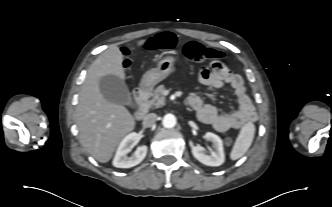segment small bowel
Returning <instances> with one entry per match:
<instances>
[{"label": "small bowel", "mask_w": 332, "mask_h": 207, "mask_svg": "<svg viewBox=\"0 0 332 207\" xmlns=\"http://www.w3.org/2000/svg\"><path fill=\"white\" fill-rule=\"evenodd\" d=\"M199 81L217 90L224 85H230L237 98L239 108L232 112H219L212 105L206 104L199 95L189 97V106L196 112L197 118L204 124L211 125L219 132L238 129L247 122L254 121L257 113L252 104L241 76L233 73L221 62H214L211 68L201 67L198 71Z\"/></svg>", "instance_id": "1"}]
</instances>
